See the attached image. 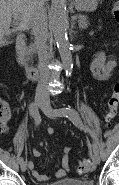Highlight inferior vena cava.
<instances>
[{
  "mask_svg": "<svg viewBox=\"0 0 119 185\" xmlns=\"http://www.w3.org/2000/svg\"><path fill=\"white\" fill-rule=\"evenodd\" d=\"M32 33L35 39V46L38 53L40 72V80L36 89V98H43L49 100V86L52 74L48 69V64L51 60V53L48 51V26H47V13L42 3L35 11L33 22L31 25Z\"/></svg>",
  "mask_w": 119,
  "mask_h": 185,
  "instance_id": "602c4592",
  "label": "inferior vena cava"
}]
</instances>
